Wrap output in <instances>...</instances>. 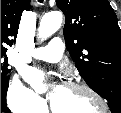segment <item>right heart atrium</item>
I'll list each match as a JSON object with an SVG mask.
<instances>
[{
    "label": "right heart atrium",
    "instance_id": "obj_1",
    "mask_svg": "<svg viewBox=\"0 0 121 113\" xmlns=\"http://www.w3.org/2000/svg\"><path fill=\"white\" fill-rule=\"evenodd\" d=\"M7 101L10 108L18 113H40L45 108L44 101L18 77L14 78L8 89Z\"/></svg>",
    "mask_w": 121,
    "mask_h": 113
}]
</instances>
